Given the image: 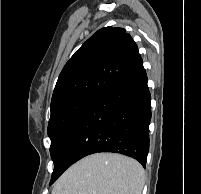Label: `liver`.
<instances>
[{
	"instance_id": "6515ba94",
	"label": "liver",
	"mask_w": 201,
	"mask_h": 194,
	"mask_svg": "<svg viewBox=\"0 0 201 194\" xmlns=\"http://www.w3.org/2000/svg\"><path fill=\"white\" fill-rule=\"evenodd\" d=\"M144 169L136 160L97 153L72 165L55 183L52 194H141Z\"/></svg>"
}]
</instances>
